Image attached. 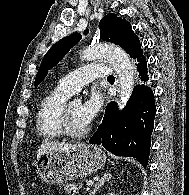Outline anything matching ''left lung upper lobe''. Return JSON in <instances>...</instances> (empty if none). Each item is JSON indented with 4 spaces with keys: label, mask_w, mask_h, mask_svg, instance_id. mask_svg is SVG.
<instances>
[{
    "label": "left lung upper lobe",
    "mask_w": 189,
    "mask_h": 195,
    "mask_svg": "<svg viewBox=\"0 0 189 195\" xmlns=\"http://www.w3.org/2000/svg\"><path fill=\"white\" fill-rule=\"evenodd\" d=\"M99 29L102 40L119 45L136 61L144 57L140 41L133 32L130 23L125 19L118 18L116 14H107L101 19ZM87 33L88 30H85L84 34L86 35ZM80 39L81 34H72L61 39L48 50L36 75L35 86L45 78L48 71L62 60L64 55L70 48L76 45Z\"/></svg>",
    "instance_id": "1"
}]
</instances>
